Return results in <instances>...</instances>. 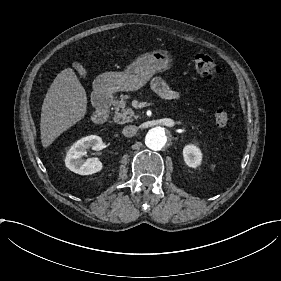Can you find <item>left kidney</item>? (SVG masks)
Segmentation results:
<instances>
[{"instance_id": "left-kidney-1", "label": "left kidney", "mask_w": 281, "mask_h": 281, "mask_svg": "<svg viewBox=\"0 0 281 281\" xmlns=\"http://www.w3.org/2000/svg\"><path fill=\"white\" fill-rule=\"evenodd\" d=\"M183 157L185 163L191 168H197L202 162V152L193 144L184 147Z\"/></svg>"}]
</instances>
